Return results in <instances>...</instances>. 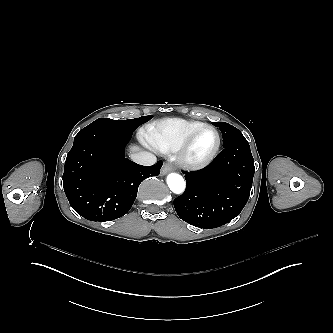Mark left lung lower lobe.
<instances>
[{
  "label": "left lung lower lobe",
  "mask_w": 333,
  "mask_h": 333,
  "mask_svg": "<svg viewBox=\"0 0 333 333\" xmlns=\"http://www.w3.org/2000/svg\"><path fill=\"white\" fill-rule=\"evenodd\" d=\"M254 172L247 140L225 147L207 167L186 174V190L174 200L178 216L204 229L230 222L248 201Z\"/></svg>",
  "instance_id": "left-lung-lower-lobe-1"
}]
</instances>
